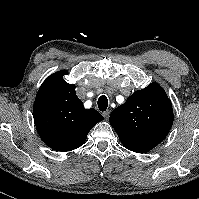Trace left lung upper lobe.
Here are the masks:
<instances>
[{"label":"left lung upper lobe","mask_w":199,"mask_h":199,"mask_svg":"<svg viewBox=\"0 0 199 199\" xmlns=\"http://www.w3.org/2000/svg\"><path fill=\"white\" fill-rule=\"evenodd\" d=\"M109 120L117 134L157 145L172 126V104L164 89L153 82L115 108Z\"/></svg>","instance_id":"5c2ea615"}]
</instances>
